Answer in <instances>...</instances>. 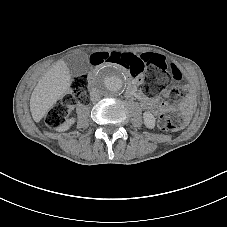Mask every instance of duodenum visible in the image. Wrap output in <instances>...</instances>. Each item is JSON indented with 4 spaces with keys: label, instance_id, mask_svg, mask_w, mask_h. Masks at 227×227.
<instances>
[{
    "label": "duodenum",
    "instance_id": "duodenum-1",
    "mask_svg": "<svg viewBox=\"0 0 227 227\" xmlns=\"http://www.w3.org/2000/svg\"><path fill=\"white\" fill-rule=\"evenodd\" d=\"M127 89L131 91V93H132L133 96H136L137 95V91L135 89V85L134 84H130ZM138 98H139V96H138ZM140 98L142 100L141 101L142 102V105L145 106L142 96H140Z\"/></svg>",
    "mask_w": 227,
    "mask_h": 227
}]
</instances>
